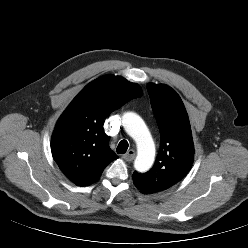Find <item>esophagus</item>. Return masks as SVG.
Listing matches in <instances>:
<instances>
[{"mask_svg":"<svg viewBox=\"0 0 248 248\" xmlns=\"http://www.w3.org/2000/svg\"><path fill=\"white\" fill-rule=\"evenodd\" d=\"M122 158L126 161H132L135 158V151L129 150L126 154L122 156Z\"/></svg>","mask_w":248,"mask_h":248,"instance_id":"1","label":"esophagus"}]
</instances>
